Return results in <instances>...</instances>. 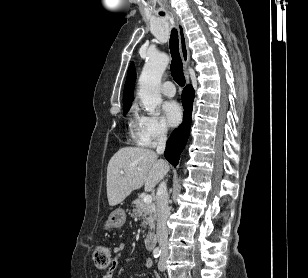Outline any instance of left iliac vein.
Listing matches in <instances>:
<instances>
[{
    "mask_svg": "<svg viewBox=\"0 0 308 278\" xmlns=\"http://www.w3.org/2000/svg\"><path fill=\"white\" fill-rule=\"evenodd\" d=\"M166 257H167V254L165 252H163L159 261H158V269L160 271L166 270Z\"/></svg>",
    "mask_w": 308,
    "mask_h": 278,
    "instance_id": "left-iliac-vein-1",
    "label": "left iliac vein"
}]
</instances>
